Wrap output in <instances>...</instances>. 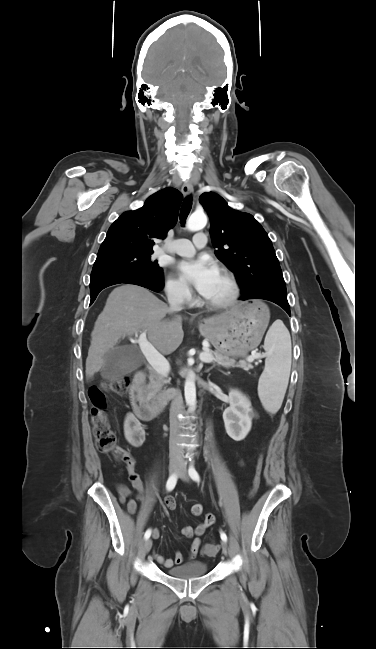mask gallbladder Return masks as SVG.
Here are the masks:
<instances>
[{
  "label": "gallbladder",
  "mask_w": 376,
  "mask_h": 649,
  "mask_svg": "<svg viewBox=\"0 0 376 649\" xmlns=\"http://www.w3.org/2000/svg\"><path fill=\"white\" fill-rule=\"evenodd\" d=\"M138 355L127 345H116L105 355V366L101 369L103 379H116L137 367Z\"/></svg>",
  "instance_id": "gallbladder-1"
}]
</instances>
